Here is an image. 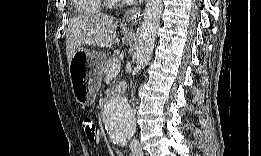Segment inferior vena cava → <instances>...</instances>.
<instances>
[{"mask_svg":"<svg viewBox=\"0 0 261 156\" xmlns=\"http://www.w3.org/2000/svg\"><path fill=\"white\" fill-rule=\"evenodd\" d=\"M133 142H134V143H136L137 141H136V140H134Z\"/></svg>","mask_w":261,"mask_h":156,"instance_id":"inferior-vena-cava-1","label":"inferior vena cava"}]
</instances>
